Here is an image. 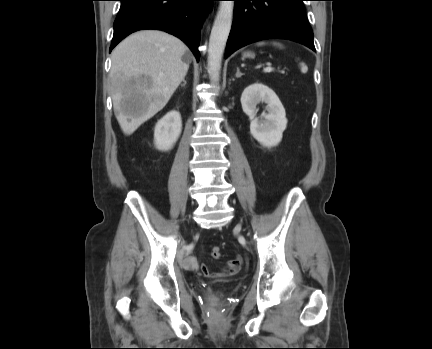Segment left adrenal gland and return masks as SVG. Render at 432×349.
<instances>
[{
	"label": "left adrenal gland",
	"instance_id": "obj_1",
	"mask_svg": "<svg viewBox=\"0 0 432 349\" xmlns=\"http://www.w3.org/2000/svg\"><path fill=\"white\" fill-rule=\"evenodd\" d=\"M243 74L240 72V69L237 67L236 78L241 77Z\"/></svg>",
	"mask_w": 432,
	"mask_h": 349
}]
</instances>
